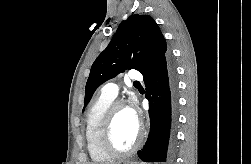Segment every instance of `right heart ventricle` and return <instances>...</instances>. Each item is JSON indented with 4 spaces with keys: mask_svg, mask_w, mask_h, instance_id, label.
I'll use <instances>...</instances> for the list:
<instances>
[{
    "mask_svg": "<svg viewBox=\"0 0 251 164\" xmlns=\"http://www.w3.org/2000/svg\"><path fill=\"white\" fill-rule=\"evenodd\" d=\"M114 98L101 94L90 105L85 117V140L90 158L94 162H104L110 159L100 144V129L104 115Z\"/></svg>",
    "mask_w": 251,
    "mask_h": 164,
    "instance_id": "1",
    "label": "right heart ventricle"
}]
</instances>
